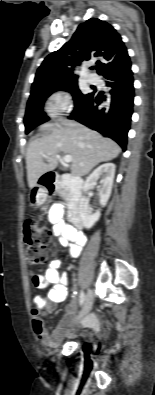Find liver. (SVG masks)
Here are the masks:
<instances>
[{
    "instance_id": "6515ba94",
    "label": "liver",
    "mask_w": 155,
    "mask_h": 395,
    "mask_svg": "<svg viewBox=\"0 0 155 395\" xmlns=\"http://www.w3.org/2000/svg\"><path fill=\"white\" fill-rule=\"evenodd\" d=\"M40 130L49 134L31 141L26 153L30 189L41 176L57 167L61 152L72 156L71 173L75 176L88 174L99 163L111 161L121 152L116 142L73 120L47 122Z\"/></svg>"
}]
</instances>
